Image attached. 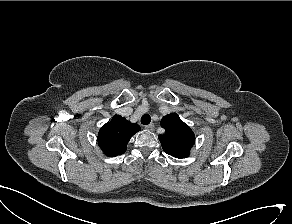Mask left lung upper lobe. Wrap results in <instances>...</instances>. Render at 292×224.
<instances>
[{"label": "left lung upper lobe", "mask_w": 292, "mask_h": 224, "mask_svg": "<svg viewBox=\"0 0 292 224\" xmlns=\"http://www.w3.org/2000/svg\"><path fill=\"white\" fill-rule=\"evenodd\" d=\"M165 133L159 136L163 150L175 157L186 158L195 143V135L176 113L166 115L161 120Z\"/></svg>", "instance_id": "obj_1"}]
</instances>
